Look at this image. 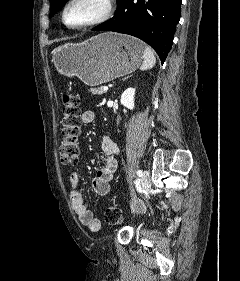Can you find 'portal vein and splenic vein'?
Returning <instances> with one entry per match:
<instances>
[{"instance_id":"1","label":"portal vein and splenic vein","mask_w":240,"mask_h":281,"mask_svg":"<svg viewBox=\"0 0 240 281\" xmlns=\"http://www.w3.org/2000/svg\"><path fill=\"white\" fill-rule=\"evenodd\" d=\"M108 89H109L108 86H104V87H103V90H104V91H108Z\"/></svg>"}]
</instances>
